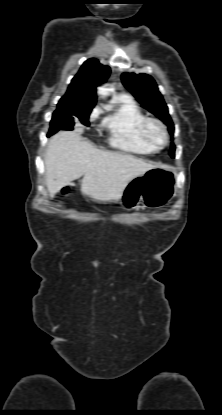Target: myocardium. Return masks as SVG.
<instances>
[{
	"label": "myocardium",
	"mask_w": 222,
	"mask_h": 415,
	"mask_svg": "<svg viewBox=\"0 0 222 415\" xmlns=\"http://www.w3.org/2000/svg\"><path fill=\"white\" fill-rule=\"evenodd\" d=\"M153 127H157L162 135V140L161 141H156L152 136H151V129ZM141 133L142 136L144 137V139L151 144L152 146H154L155 148L159 149V148H163L165 146L168 145L169 143V133L167 130L166 125L163 123V121H161L158 118L155 117H146L142 124H141Z\"/></svg>",
	"instance_id": "myocardium-1"
}]
</instances>
